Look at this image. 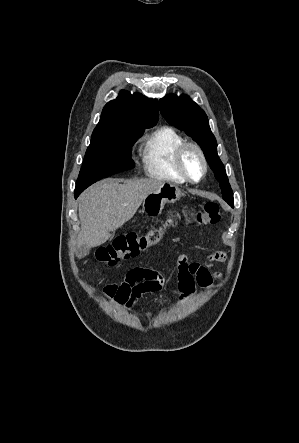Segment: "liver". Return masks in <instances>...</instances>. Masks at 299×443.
Returning a JSON list of instances; mask_svg holds the SVG:
<instances>
[{
  "mask_svg": "<svg viewBox=\"0 0 299 443\" xmlns=\"http://www.w3.org/2000/svg\"><path fill=\"white\" fill-rule=\"evenodd\" d=\"M165 182L157 179L102 180L79 197L81 231L78 245L89 248L104 244L129 221L144 199Z\"/></svg>",
  "mask_w": 299,
  "mask_h": 443,
  "instance_id": "obj_1",
  "label": "liver"
}]
</instances>
